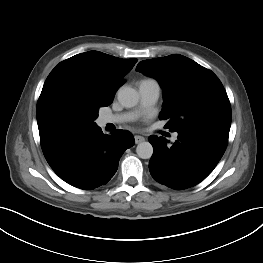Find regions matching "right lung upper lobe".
Masks as SVG:
<instances>
[{"instance_id":"obj_1","label":"right lung upper lobe","mask_w":263,"mask_h":263,"mask_svg":"<svg viewBox=\"0 0 263 263\" xmlns=\"http://www.w3.org/2000/svg\"><path fill=\"white\" fill-rule=\"evenodd\" d=\"M136 62L137 59H121L99 51L77 54L60 62L51 71L44 86L58 80L72 79L98 91L112 103L116 91L124 83L122 78Z\"/></svg>"}]
</instances>
